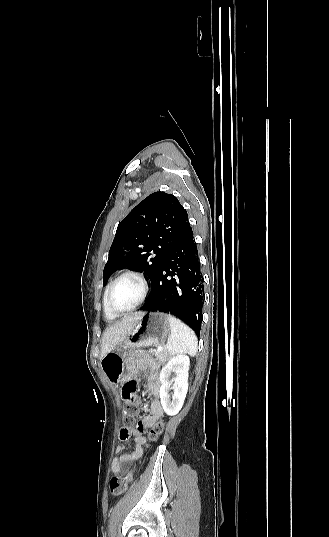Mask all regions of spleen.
Here are the masks:
<instances>
[{
  "instance_id": "spleen-1",
  "label": "spleen",
  "mask_w": 329,
  "mask_h": 537,
  "mask_svg": "<svg viewBox=\"0 0 329 537\" xmlns=\"http://www.w3.org/2000/svg\"><path fill=\"white\" fill-rule=\"evenodd\" d=\"M171 333L166 349L171 355L197 353V338L195 333L178 318L170 316Z\"/></svg>"
}]
</instances>
